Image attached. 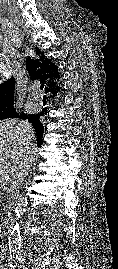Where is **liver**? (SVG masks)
Returning a JSON list of instances; mask_svg holds the SVG:
<instances>
[{
    "instance_id": "liver-1",
    "label": "liver",
    "mask_w": 118,
    "mask_h": 269,
    "mask_svg": "<svg viewBox=\"0 0 118 269\" xmlns=\"http://www.w3.org/2000/svg\"><path fill=\"white\" fill-rule=\"evenodd\" d=\"M35 132L26 120H5L0 122V180L8 174L19 171L27 150L34 154L37 146L32 141Z\"/></svg>"
}]
</instances>
